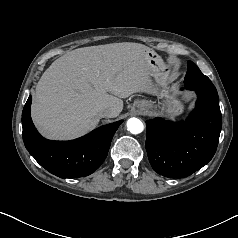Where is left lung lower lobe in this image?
Masks as SVG:
<instances>
[{"label": "left lung lower lobe", "mask_w": 238, "mask_h": 238, "mask_svg": "<svg viewBox=\"0 0 238 238\" xmlns=\"http://www.w3.org/2000/svg\"><path fill=\"white\" fill-rule=\"evenodd\" d=\"M198 96L186 121L173 123L160 117L146 121V150L152 168L165 177L183 178L206 165L214 156L222 118L218 94L186 84Z\"/></svg>", "instance_id": "1"}]
</instances>
